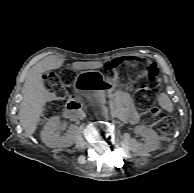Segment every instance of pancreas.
<instances>
[{"label":"pancreas","mask_w":194,"mask_h":193,"mask_svg":"<svg viewBox=\"0 0 194 193\" xmlns=\"http://www.w3.org/2000/svg\"><path fill=\"white\" fill-rule=\"evenodd\" d=\"M112 99L111 95H106L105 94H99V97L95 98V101L97 103L103 104L105 102V100L110 101Z\"/></svg>","instance_id":"1"}]
</instances>
